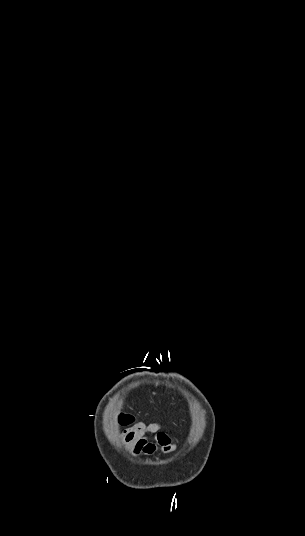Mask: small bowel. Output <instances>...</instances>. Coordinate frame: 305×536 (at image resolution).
Instances as JSON below:
<instances>
[{"mask_svg":"<svg viewBox=\"0 0 305 536\" xmlns=\"http://www.w3.org/2000/svg\"><path fill=\"white\" fill-rule=\"evenodd\" d=\"M121 443L136 456H150L156 451L174 452L173 443L166 427H131L119 435Z\"/></svg>","mask_w":305,"mask_h":536,"instance_id":"c3829d8e","label":"small bowel"}]
</instances>
